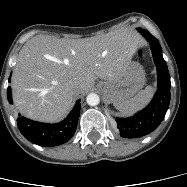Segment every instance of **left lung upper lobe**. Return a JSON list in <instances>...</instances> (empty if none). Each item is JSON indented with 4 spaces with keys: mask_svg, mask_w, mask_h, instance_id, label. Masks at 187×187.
<instances>
[{
    "mask_svg": "<svg viewBox=\"0 0 187 187\" xmlns=\"http://www.w3.org/2000/svg\"><path fill=\"white\" fill-rule=\"evenodd\" d=\"M139 30V32L142 34V32H148V31H146V30H143V29H138Z\"/></svg>",
    "mask_w": 187,
    "mask_h": 187,
    "instance_id": "1",
    "label": "left lung upper lobe"
}]
</instances>
